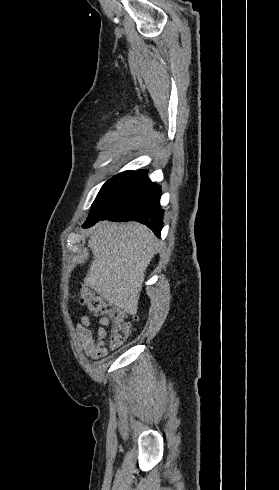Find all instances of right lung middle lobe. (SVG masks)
Here are the masks:
<instances>
[{
    "instance_id": "1",
    "label": "right lung middle lobe",
    "mask_w": 279,
    "mask_h": 490,
    "mask_svg": "<svg viewBox=\"0 0 279 490\" xmlns=\"http://www.w3.org/2000/svg\"><path fill=\"white\" fill-rule=\"evenodd\" d=\"M148 181L150 180L147 178V171L145 170L125 171L115 175L102 186L92 204L86 222L100 217L105 212L108 201L120 191L132 186L145 184Z\"/></svg>"
}]
</instances>
